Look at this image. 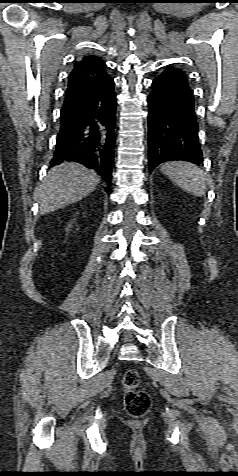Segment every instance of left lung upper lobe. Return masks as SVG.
<instances>
[{
    "mask_svg": "<svg viewBox=\"0 0 238 476\" xmlns=\"http://www.w3.org/2000/svg\"><path fill=\"white\" fill-rule=\"evenodd\" d=\"M172 69H173L177 74H180V75L183 77V79L187 82L188 78H187V76H186V74H185L184 71L179 70V69H177V68H172Z\"/></svg>",
    "mask_w": 238,
    "mask_h": 476,
    "instance_id": "5c2ea615",
    "label": "left lung upper lobe"
}]
</instances>
